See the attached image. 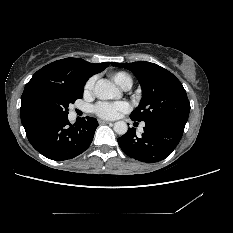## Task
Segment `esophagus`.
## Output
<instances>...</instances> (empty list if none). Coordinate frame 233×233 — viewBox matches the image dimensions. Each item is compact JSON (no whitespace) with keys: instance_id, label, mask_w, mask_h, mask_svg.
<instances>
[{"instance_id":"34e87169","label":"esophagus","mask_w":233,"mask_h":233,"mask_svg":"<svg viewBox=\"0 0 233 233\" xmlns=\"http://www.w3.org/2000/svg\"><path fill=\"white\" fill-rule=\"evenodd\" d=\"M99 124H112V122L106 120H99Z\"/></svg>"}]
</instances>
